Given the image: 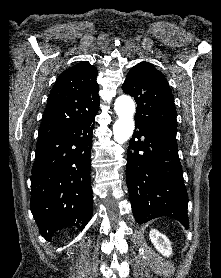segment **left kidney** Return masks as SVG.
Returning <instances> with one entry per match:
<instances>
[{
    "label": "left kidney",
    "instance_id": "obj_1",
    "mask_svg": "<svg viewBox=\"0 0 221 278\" xmlns=\"http://www.w3.org/2000/svg\"><path fill=\"white\" fill-rule=\"evenodd\" d=\"M149 237L154 247L159 253L167 257L172 255L171 242L168 239V237H166V235L160 233L156 229H152L150 231Z\"/></svg>",
    "mask_w": 221,
    "mask_h": 278
}]
</instances>
